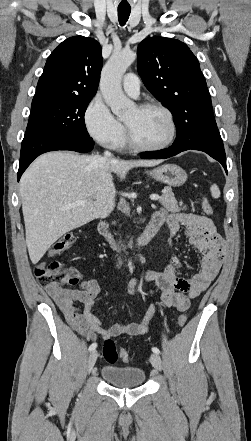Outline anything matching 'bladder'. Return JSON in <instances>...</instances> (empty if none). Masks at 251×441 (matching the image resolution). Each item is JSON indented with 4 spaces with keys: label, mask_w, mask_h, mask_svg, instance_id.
Instances as JSON below:
<instances>
[{
    "label": "bladder",
    "mask_w": 251,
    "mask_h": 441,
    "mask_svg": "<svg viewBox=\"0 0 251 441\" xmlns=\"http://www.w3.org/2000/svg\"><path fill=\"white\" fill-rule=\"evenodd\" d=\"M100 374L105 382L118 388L138 387L146 380L144 370L138 367L105 365Z\"/></svg>",
    "instance_id": "obj_1"
}]
</instances>
